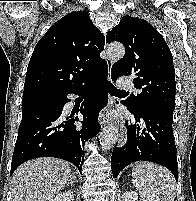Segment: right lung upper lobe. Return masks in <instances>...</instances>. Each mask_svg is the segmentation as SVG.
<instances>
[{
	"mask_svg": "<svg viewBox=\"0 0 196 201\" xmlns=\"http://www.w3.org/2000/svg\"><path fill=\"white\" fill-rule=\"evenodd\" d=\"M105 37L86 11L71 12L36 44L28 64L23 97L59 95L89 80L107 63L100 58Z\"/></svg>",
	"mask_w": 196,
	"mask_h": 201,
	"instance_id": "right-lung-upper-lobe-1",
	"label": "right lung upper lobe"
}]
</instances>
